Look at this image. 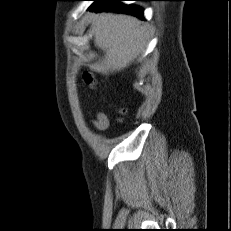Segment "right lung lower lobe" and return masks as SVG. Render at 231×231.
<instances>
[{"label": "right lung lower lobe", "mask_w": 231, "mask_h": 231, "mask_svg": "<svg viewBox=\"0 0 231 231\" xmlns=\"http://www.w3.org/2000/svg\"><path fill=\"white\" fill-rule=\"evenodd\" d=\"M96 3L93 4L89 10L90 11H113V12H121L128 13L131 15H135L139 18H143L142 9L133 5H123L121 1L126 0H92Z\"/></svg>", "instance_id": "obj_1"}]
</instances>
